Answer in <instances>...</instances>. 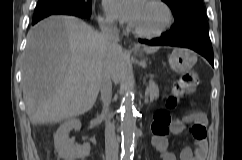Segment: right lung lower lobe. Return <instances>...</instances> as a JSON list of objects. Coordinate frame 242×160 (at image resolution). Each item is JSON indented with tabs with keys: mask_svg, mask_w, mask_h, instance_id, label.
<instances>
[{
	"mask_svg": "<svg viewBox=\"0 0 242 160\" xmlns=\"http://www.w3.org/2000/svg\"><path fill=\"white\" fill-rule=\"evenodd\" d=\"M73 16H76V17H79L81 19H88L90 18L91 14L90 15H87V16H77V15H73ZM41 19H37V20H32V25H35L38 21H40Z\"/></svg>",
	"mask_w": 242,
	"mask_h": 160,
	"instance_id": "obj_1",
	"label": "right lung lower lobe"
}]
</instances>
